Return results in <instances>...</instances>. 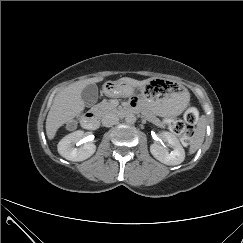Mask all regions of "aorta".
I'll use <instances>...</instances> for the list:
<instances>
[{
	"instance_id": "1",
	"label": "aorta",
	"mask_w": 243,
	"mask_h": 243,
	"mask_svg": "<svg viewBox=\"0 0 243 243\" xmlns=\"http://www.w3.org/2000/svg\"><path fill=\"white\" fill-rule=\"evenodd\" d=\"M125 122L127 124H134L136 122V116L134 114H127L125 117Z\"/></svg>"
}]
</instances>
